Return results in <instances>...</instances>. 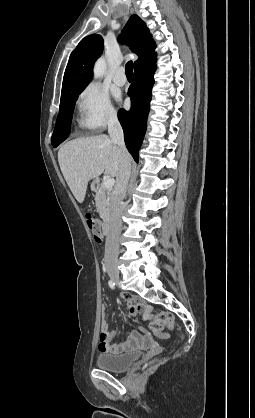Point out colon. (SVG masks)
<instances>
[{
  "label": "colon",
  "instance_id": "obj_1",
  "mask_svg": "<svg viewBox=\"0 0 255 418\" xmlns=\"http://www.w3.org/2000/svg\"><path fill=\"white\" fill-rule=\"evenodd\" d=\"M87 225L95 239L96 242H101L103 239L101 226L98 220L90 213L86 214ZM150 329L158 337H165L164 328L173 329L174 328V317L169 312H160L150 317ZM149 363H145L146 367Z\"/></svg>",
  "mask_w": 255,
  "mask_h": 418
}]
</instances>
